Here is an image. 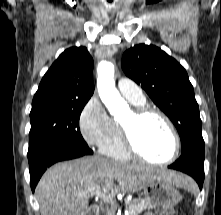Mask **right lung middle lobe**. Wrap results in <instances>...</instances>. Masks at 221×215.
Segmentation results:
<instances>
[{"label":"right lung middle lobe","mask_w":221,"mask_h":215,"mask_svg":"<svg viewBox=\"0 0 221 215\" xmlns=\"http://www.w3.org/2000/svg\"><path fill=\"white\" fill-rule=\"evenodd\" d=\"M87 102L48 101L32 105L28 157L56 143L84 145L80 114Z\"/></svg>","instance_id":"1"}]
</instances>
